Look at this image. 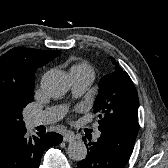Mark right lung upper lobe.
Returning a JSON list of instances; mask_svg holds the SVG:
<instances>
[{
    "label": "right lung upper lobe",
    "mask_w": 168,
    "mask_h": 168,
    "mask_svg": "<svg viewBox=\"0 0 168 168\" xmlns=\"http://www.w3.org/2000/svg\"><path fill=\"white\" fill-rule=\"evenodd\" d=\"M60 51L16 47L0 58V146L23 129L9 116L22 91L34 86L38 67L50 62Z\"/></svg>",
    "instance_id": "obj_1"
}]
</instances>
